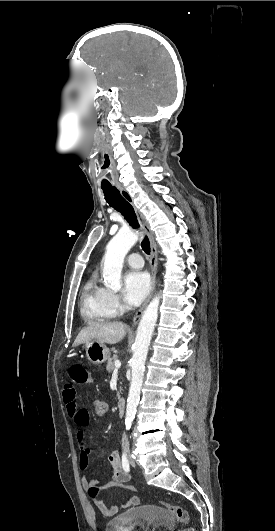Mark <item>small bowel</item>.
<instances>
[{
    "instance_id": "small-bowel-1",
    "label": "small bowel",
    "mask_w": 275,
    "mask_h": 531,
    "mask_svg": "<svg viewBox=\"0 0 275 531\" xmlns=\"http://www.w3.org/2000/svg\"><path fill=\"white\" fill-rule=\"evenodd\" d=\"M67 371L70 375V382L72 384H89L92 382L93 377L90 374L89 369L84 367H76L74 364H69L67 366ZM63 398L66 404L67 412L72 418L75 426L77 427V438L79 441V446L81 449L78 464L81 470H86L91 464L90 455L91 449L88 447L85 435L84 428L89 424V414L86 409L80 408L77 403L76 390L73 385H68L63 391ZM103 463L108 465L112 472V478H117V480L130 481V473L123 467L121 457L118 451H112L108 457L103 460ZM82 483L84 487L89 488L93 485L86 477H83ZM140 504V499L137 496H132L126 503L123 504H113L108 505L103 500L96 498L94 499V505L99 510V512L105 517H113L120 512L121 509L127 507H135Z\"/></svg>"
}]
</instances>
